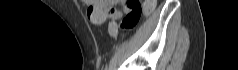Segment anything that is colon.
Listing matches in <instances>:
<instances>
[{"mask_svg": "<svg viewBox=\"0 0 238 70\" xmlns=\"http://www.w3.org/2000/svg\"><path fill=\"white\" fill-rule=\"evenodd\" d=\"M155 5L156 0H146L143 4L138 0H126V7L128 8L129 12L123 21V27L126 29L134 28L138 24L141 16L144 13H151L154 10ZM119 25L120 22L116 21L115 19H112L109 22L108 32L110 36H117Z\"/></svg>", "mask_w": 238, "mask_h": 70, "instance_id": "obj_1", "label": "colon"}]
</instances>
